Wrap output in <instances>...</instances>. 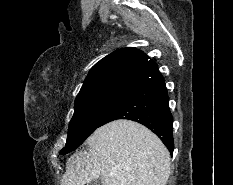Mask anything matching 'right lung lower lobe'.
<instances>
[{"mask_svg":"<svg viewBox=\"0 0 233 185\" xmlns=\"http://www.w3.org/2000/svg\"><path fill=\"white\" fill-rule=\"evenodd\" d=\"M117 119L139 122L154 132L172 154L173 117L164 79L159 73L130 90L105 116L99 127Z\"/></svg>","mask_w":233,"mask_h":185,"instance_id":"98d812e1","label":"right lung lower lobe"}]
</instances>
